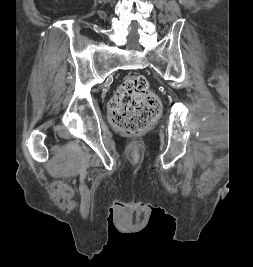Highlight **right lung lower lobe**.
I'll return each instance as SVG.
<instances>
[{
  "label": "right lung lower lobe",
  "mask_w": 253,
  "mask_h": 267,
  "mask_svg": "<svg viewBox=\"0 0 253 267\" xmlns=\"http://www.w3.org/2000/svg\"><path fill=\"white\" fill-rule=\"evenodd\" d=\"M152 214H153V215H154V214H158V215H160V214H163V211H161V210H153Z\"/></svg>",
  "instance_id": "98d812e1"
}]
</instances>
